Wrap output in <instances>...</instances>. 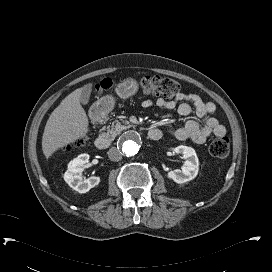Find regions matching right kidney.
Masks as SVG:
<instances>
[{"label": "right kidney", "mask_w": 272, "mask_h": 272, "mask_svg": "<svg viewBox=\"0 0 272 272\" xmlns=\"http://www.w3.org/2000/svg\"><path fill=\"white\" fill-rule=\"evenodd\" d=\"M89 161L88 154H81L69 162L68 169L64 173L65 182L74 190L79 193H86L91 188L97 186L100 182V177L91 176L88 179L82 180L80 173L82 166Z\"/></svg>", "instance_id": "right-kidney-1"}]
</instances>
